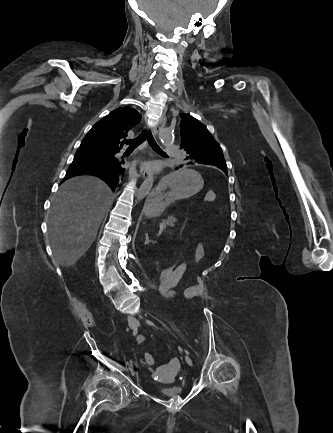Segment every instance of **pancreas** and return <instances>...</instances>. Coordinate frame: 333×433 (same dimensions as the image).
Returning <instances> with one entry per match:
<instances>
[{"label": "pancreas", "mask_w": 333, "mask_h": 433, "mask_svg": "<svg viewBox=\"0 0 333 433\" xmlns=\"http://www.w3.org/2000/svg\"><path fill=\"white\" fill-rule=\"evenodd\" d=\"M177 221L175 216H169L166 220L163 219L161 225L174 226V223Z\"/></svg>", "instance_id": "pancreas-1"}]
</instances>
